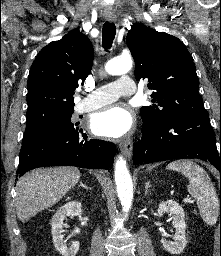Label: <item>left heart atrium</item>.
I'll return each instance as SVG.
<instances>
[{
    "label": "left heart atrium",
    "instance_id": "left-heart-atrium-1",
    "mask_svg": "<svg viewBox=\"0 0 221 256\" xmlns=\"http://www.w3.org/2000/svg\"><path fill=\"white\" fill-rule=\"evenodd\" d=\"M90 126L96 135L118 138L132 129L133 116L124 106L115 104L95 113Z\"/></svg>",
    "mask_w": 221,
    "mask_h": 256
}]
</instances>
